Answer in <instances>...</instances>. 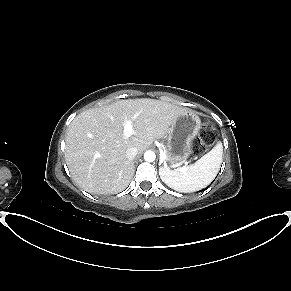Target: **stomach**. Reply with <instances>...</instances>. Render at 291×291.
<instances>
[{
  "instance_id": "0dacf381",
  "label": "stomach",
  "mask_w": 291,
  "mask_h": 291,
  "mask_svg": "<svg viewBox=\"0 0 291 291\" xmlns=\"http://www.w3.org/2000/svg\"><path fill=\"white\" fill-rule=\"evenodd\" d=\"M200 126V118L192 111L178 116L171 126L164 150L166 162L180 165L188 158L191 154V142L198 134Z\"/></svg>"
}]
</instances>
